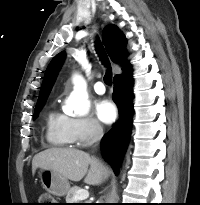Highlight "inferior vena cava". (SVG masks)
Instances as JSON below:
<instances>
[{"label": "inferior vena cava", "mask_w": 200, "mask_h": 205, "mask_svg": "<svg viewBox=\"0 0 200 205\" xmlns=\"http://www.w3.org/2000/svg\"><path fill=\"white\" fill-rule=\"evenodd\" d=\"M92 140L93 142H98L103 136V129L99 124H94L92 128Z\"/></svg>", "instance_id": "inferior-vena-cava-1"}]
</instances>
